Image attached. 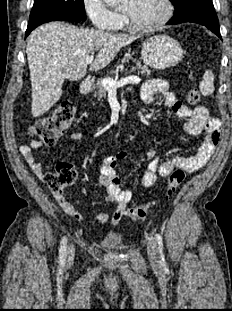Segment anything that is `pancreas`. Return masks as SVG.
<instances>
[{"label": "pancreas", "instance_id": "cf45deb5", "mask_svg": "<svg viewBox=\"0 0 232 311\" xmlns=\"http://www.w3.org/2000/svg\"><path fill=\"white\" fill-rule=\"evenodd\" d=\"M131 71L133 73H138V74H142V75H146V76H149L150 75V70L145 67V66H142L141 63H137L136 66H132L131 67ZM102 80H99L96 85L93 87V89L97 90V92H95L94 96H97L99 100H101L102 98H105L106 97V92L107 90L103 87L102 85Z\"/></svg>", "mask_w": 232, "mask_h": 311}]
</instances>
